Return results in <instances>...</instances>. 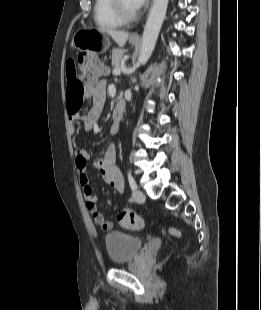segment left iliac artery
<instances>
[{
    "label": "left iliac artery",
    "mask_w": 261,
    "mask_h": 310,
    "mask_svg": "<svg viewBox=\"0 0 261 310\" xmlns=\"http://www.w3.org/2000/svg\"><path fill=\"white\" fill-rule=\"evenodd\" d=\"M128 181H129V185H130V188L134 191L137 189V184L134 180V178L132 177L131 173L128 172Z\"/></svg>",
    "instance_id": "left-iliac-artery-1"
}]
</instances>
